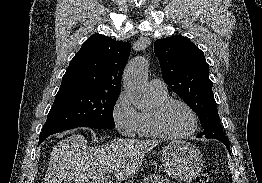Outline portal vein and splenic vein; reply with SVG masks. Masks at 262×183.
I'll return each mask as SVG.
<instances>
[{
    "label": "portal vein and splenic vein",
    "instance_id": "obj_1",
    "mask_svg": "<svg viewBox=\"0 0 262 183\" xmlns=\"http://www.w3.org/2000/svg\"><path fill=\"white\" fill-rule=\"evenodd\" d=\"M112 172H113V170L110 169V170H108L106 173H107V174H111Z\"/></svg>",
    "mask_w": 262,
    "mask_h": 183
}]
</instances>
